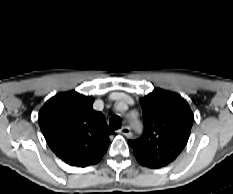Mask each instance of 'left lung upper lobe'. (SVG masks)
Wrapping results in <instances>:
<instances>
[{"mask_svg": "<svg viewBox=\"0 0 233 194\" xmlns=\"http://www.w3.org/2000/svg\"><path fill=\"white\" fill-rule=\"evenodd\" d=\"M140 103L145 132L128 143L137 160L167 165L187 144L194 119L190 106L180 95L159 88Z\"/></svg>", "mask_w": 233, "mask_h": 194, "instance_id": "obj_1", "label": "left lung upper lobe"}]
</instances>
